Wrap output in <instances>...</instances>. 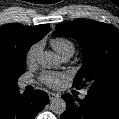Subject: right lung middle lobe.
I'll return each mask as SVG.
<instances>
[{"mask_svg":"<svg viewBox=\"0 0 119 119\" xmlns=\"http://www.w3.org/2000/svg\"><path fill=\"white\" fill-rule=\"evenodd\" d=\"M28 50L29 48H23L20 51H18L15 55L13 65L11 67V73L16 81L25 72L26 69L25 60Z\"/></svg>","mask_w":119,"mask_h":119,"instance_id":"right-lung-middle-lobe-1","label":"right lung middle lobe"}]
</instances>
